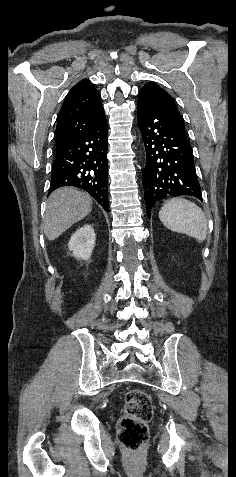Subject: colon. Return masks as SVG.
Here are the masks:
<instances>
[{"label": "colon", "instance_id": "obj_1", "mask_svg": "<svg viewBox=\"0 0 236 477\" xmlns=\"http://www.w3.org/2000/svg\"><path fill=\"white\" fill-rule=\"evenodd\" d=\"M153 412V403L143 390L135 388L126 393L123 416L118 423V440L127 451L139 453L142 450Z\"/></svg>", "mask_w": 236, "mask_h": 477}]
</instances>
